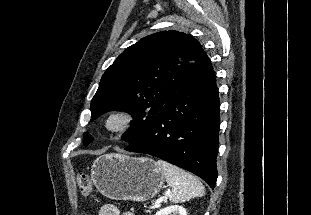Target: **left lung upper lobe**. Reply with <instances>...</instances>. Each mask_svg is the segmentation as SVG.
<instances>
[{
  "label": "left lung upper lobe",
  "instance_id": "left-lung-upper-lobe-1",
  "mask_svg": "<svg viewBox=\"0 0 311 215\" xmlns=\"http://www.w3.org/2000/svg\"><path fill=\"white\" fill-rule=\"evenodd\" d=\"M203 51L193 36L174 30L142 38L120 54L102 76L91 101V120L111 110L130 113L134 120L122 139L133 143L185 83ZM92 139L85 132L83 144Z\"/></svg>",
  "mask_w": 311,
  "mask_h": 215
}]
</instances>
